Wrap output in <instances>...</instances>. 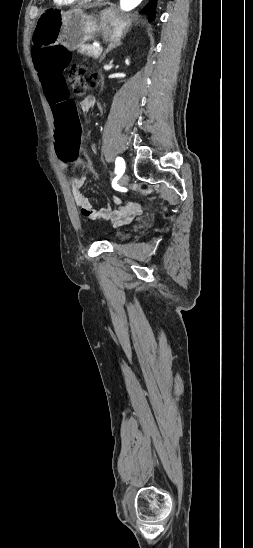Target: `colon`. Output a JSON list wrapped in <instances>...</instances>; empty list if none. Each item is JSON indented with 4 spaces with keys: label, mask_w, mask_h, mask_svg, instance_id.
I'll return each mask as SVG.
<instances>
[{
    "label": "colon",
    "mask_w": 253,
    "mask_h": 548,
    "mask_svg": "<svg viewBox=\"0 0 253 548\" xmlns=\"http://www.w3.org/2000/svg\"><path fill=\"white\" fill-rule=\"evenodd\" d=\"M34 69L40 79V95L48 96L51 105L52 120L57 128L55 142V156L65 160L70 165L77 157L79 128L77 123L76 99L72 98L66 78L69 55L61 46L47 49H37L34 52ZM69 80L75 95L83 96L95 86L96 76L88 72L81 65H74L69 73ZM84 163L94 180L100 179V174L93 162L82 158L76 162Z\"/></svg>",
    "instance_id": "obj_1"
}]
</instances>
